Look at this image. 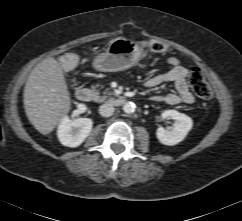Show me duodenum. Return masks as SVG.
Returning a JSON list of instances; mask_svg holds the SVG:
<instances>
[{
    "mask_svg": "<svg viewBox=\"0 0 242 221\" xmlns=\"http://www.w3.org/2000/svg\"><path fill=\"white\" fill-rule=\"evenodd\" d=\"M77 99L82 102H90L94 99V93L90 88L87 87H79L76 90ZM126 102V97L120 96L113 98L110 103L113 106H121Z\"/></svg>",
    "mask_w": 242,
    "mask_h": 221,
    "instance_id": "410a0bca",
    "label": "duodenum"
}]
</instances>
